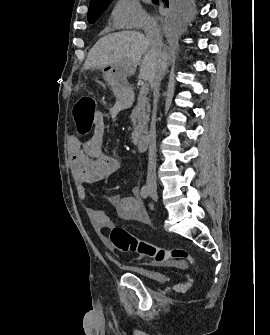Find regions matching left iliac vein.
<instances>
[{"label":"left iliac vein","instance_id":"1","mask_svg":"<svg viewBox=\"0 0 270 335\" xmlns=\"http://www.w3.org/2000/svg\"><path fill=\"white\" fill-rule=\"evenodd\" d=\"M152 198H153L155 201L157 200V198H155V197H153V196H152Z\"/></svg>","mask_w":270,"mask_h":335}]
</instances>
